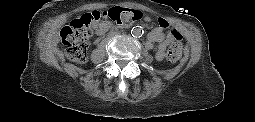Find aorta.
Returning <instances> with one entry per match:
<instances>
[{
	"mask_svg": "<svg viewBox=\"0 0 255 122\" xmlns=\"http://www.w3.org/2000/svg\"><path fill=\"white\" fill-rule=\"evenodd\" d=\"M131 34L133 37H141L143 35V28L141 26H135L131 30Z\"/></svg>",
	"mask_w": 255,
	"mask_h": 122,
	"instance_id": "762f6f07",
	"label": "aorta"
}]
</instances>
